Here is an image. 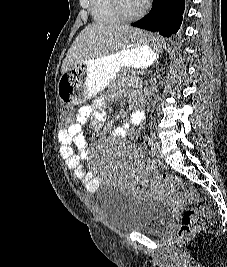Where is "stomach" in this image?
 Listing matches in <instances>:
<instances>
[{"label":"stomach","mask_w":227,"mask_h":267,"mask_svg":"<svg viewBox=\"0 0 227 267\" xmlns=\"http://www.w3.org/2000/svg\"><path fill=\"white\" fill-rule=\"evenodd\" d=\"M158 56L154 47L132 40L117 53L76 64L69 68V73L59 77L57 101L81 106L86 100L93 99V94L104 90L121 70L146 68Z\"/></svg>","instance_id":"stomach-1"}]
</instances>
